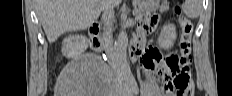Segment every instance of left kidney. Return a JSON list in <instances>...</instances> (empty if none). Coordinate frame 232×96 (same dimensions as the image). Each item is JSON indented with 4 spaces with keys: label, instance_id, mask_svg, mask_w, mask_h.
Listing matches in <instances>:
<instances>
[{
    "label": "left kidney",
    "instance_id": "left-kidney-1",
    "mask_svg": "<svg viewBox=\"0 0 232 96\" xmlns=\"http://www.w3.org/2000/svg\"><path fill=\"white\" fill-rule=\"evenodd\" d=\"M176 36V30L173 24L164 25L158 38L159 46L163 49L171 48Z\"/></svg>",
    "mask_w": 232,
    "mask_h": 96
}]
</instances>
